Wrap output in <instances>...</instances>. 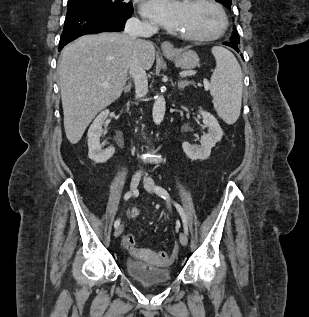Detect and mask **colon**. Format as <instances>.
<instances>
[{
  "label": "colon",
  "instance_id": "5ec220e1",
  "mask_svg": "<svg viewBox=\"0 0 309 317\" xmlns=\"http://www.w3.org/2000/svg\"><path fill=\"white\" fill-rule=\"evenodd\" d=\"M131 215H132L133 217H137V216L139 215L138 210H137V209H133V210L131 211ZM124 244H125L128 248H134V246H135V238H134V236L131 235V234L126 235L125 238H124ZM167 256H168L167 253H165V252H160V253H159L160 261H161L162 263H168V261H167Z\"/></svg>",
  "mask_w": 309,
  "mask_h": 317
}]
</instances>
